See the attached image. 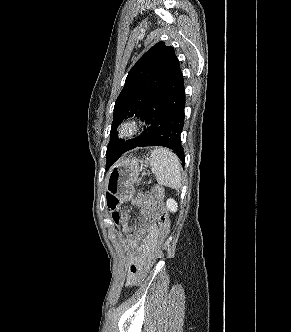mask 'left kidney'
<instances>
[{
    "label": "left kidney",
    "instance_id": "obj_1",
    "mask_svg": "<svg viewBox=\"0 0 291 332\" xmlns=\"http://www.w3.org/2000/svg\"><path fill=\"white\" fill-rule=\"evenodd\" d=\"M166 207L169 209L170 212H176L177 211V202L173 198H169L166 201Z\"/></svg>",
    "mask_w": 291,
    "mask_h": 332
}]
</instances>
